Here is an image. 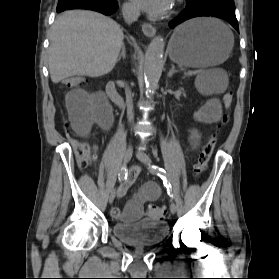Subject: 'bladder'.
I'll list each match as a JSON object with an SVG mask.
<instances>
[{"instance_id": "1", "label": "bladder", "mask_w": 279, "mask_h": 279, "mask_svg": "<svg viewBox=\"0 0 279 279\" xmlns=\"http://www.w3.org/2000/svg\"><path fill=\"white\" fill-rule=\"evenodd\" d=\"M113 234L122 242L137 247L160 244L168 233V225L161 220L143 218L134 223L115 222Z\"/></svg>"}]
</instances>
